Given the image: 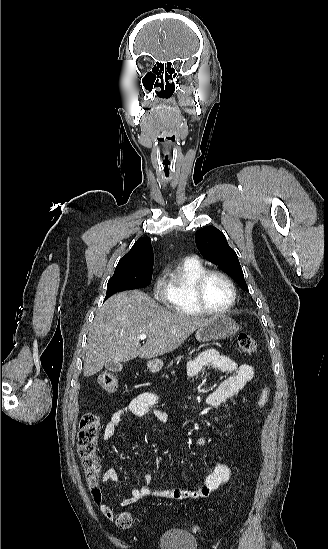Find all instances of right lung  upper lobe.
Instances as JSON below:
<instances>
[{
  "label": "right lung upper lobe",
  "instance_id": "cb5924a9",
  "mask_svg": "<svg viewBox=\"0 0 328 549\" xmlns=\"http://www.w3.org/2000/svg\"><path fill=\"white\" fill-rule=\"evenodd\" d=\"M152 260H154V254L151 246V239L148 237L139 238L131 250L120 259L115 271L127 268L140 262Z\"/></svg>",
  "mask_w": 328,
  "mask_h": 549
}]
</instances>
